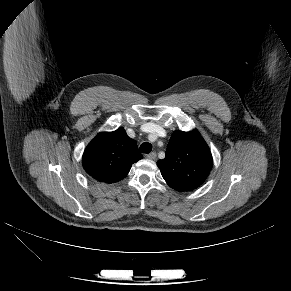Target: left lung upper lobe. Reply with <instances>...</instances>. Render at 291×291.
<instances>
[{
	"label": "left lung upper lobe",
	"instance_id": "1",
	"mask_svg": "<svg viewBox=\"0 0 291 291\" xmlns=\"http://www.w3.org/2000/svg\"><path fill=\"white\" fill-rule=\"evenodd\" d=\"M213 165L210 149L200 133L173 132L166 157L157 162L161 174L173 189L192 191L207 178Z\"/></svg>",
	"mask_w": 291,
	"mask_h": 291
}]
</instances>
